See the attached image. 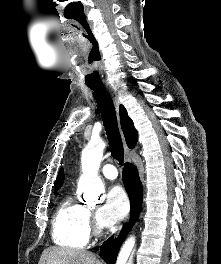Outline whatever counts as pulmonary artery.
<instances>
[{
    "mask_svg": "<svg viewBox=\"0 0 221 264\" xmlns=\"http://www.w3.org/2000/svg\"><path fill=\"white\" fill-rule=\"evenodd\" d=\"M102 174L110 180H114L118 176L116 167L113 164H106L102 167Z\"/></svg>",
    "mask_w": 221,
    "mask_h": 264,
    "instance_id": "pulmonary-artery-1",
    "label": "pulmonary artery"
}]
</instances>
